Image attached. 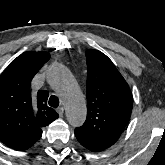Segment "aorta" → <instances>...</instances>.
<instances>
[{"mask_svg": "<svg viewBox=\"0 0 165 165\" xmlns=\"http://www.w3.org/2000/svg\"><path fill=\"white\" fill-rule=\"evenodd\" d=\"M47 79L61 92L69 124L72 127L81 126L86 119V102L72 75L65 66L57 64L49 69Z\"/></svg>", "mask_w": 165, "mask_h": 165, "instance_id": "1", "label": "aorta"}]
</instances>
